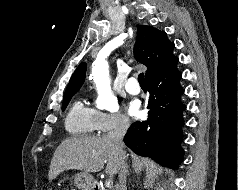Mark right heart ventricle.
Returning a JSON list of instances; mask_svg holds the SVG:
<instances>
[{
  "mask_svg": "<svg viewBox=\"0 0 238 190\" xmlns=\"http://www.w3.org/2000/svg\"><path fill=\"white\" fill-rule=\"evenodd\" d=\"M66 130L73 135H89L96 131L95 110L83 101L77 100L71 106L65 119Z\"/></svg>",
  "mask_w": 238,
  "mask_h": 190,
  "instance_id": "right-heart-ventricle-1",
  "label": "right heart ventricle"
}]
</instances>
